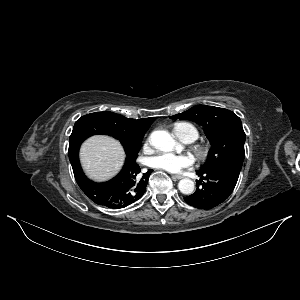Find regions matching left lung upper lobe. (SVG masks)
Instances as JSON below:
<instances>
[{"instance_id": "5c2ea615", "label": "left lung upper lobe", "mask_w": 300, "mask_h": 300, "mask_svg": "<svg viewBox=\"0 0 300 300\" xmlns=\"http://www.w3.org/2000/svg\"><path fill=\"white\" fill-rule=\"evenodd\" d=\"M172 119L191 120L204 126L212 150L200 172L231 166L241 170L244 161L245 132L240 118L232 111L206 105H198L171 116Z\"/></svg>"}]
</instances>
